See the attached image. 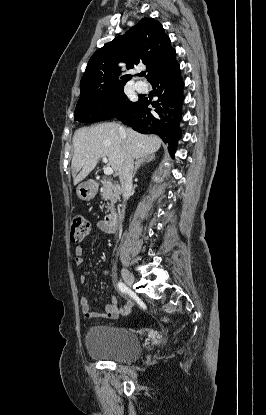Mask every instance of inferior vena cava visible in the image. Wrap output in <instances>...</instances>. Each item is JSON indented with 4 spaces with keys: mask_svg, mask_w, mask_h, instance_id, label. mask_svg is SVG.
Segmentation results:
<instances>
[{
    "mask_svg": "<svg viewBox=\"0 0 266 415\" xmlns=\"http://www.w3.org/2000/svg\"><path fill=\"white\" fill-rule=\"evenodd\" d=\"M133 169H134V159L129 152H126L124 153L122 157L121 166L119 168V180L121 184V193L124 198V201L129 196L131 189H132ZM124 214H125V205L123 206L122 210L119 211L118 218L120 221L124 218Z\"/></svg>",
    "mask_w": 266,
    "mask_h": 415,
    "instance_id": "inferior-vena-cava-1",
    "label": "inferior vena cava"
}]
</instances>
